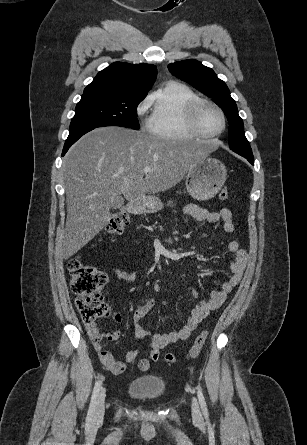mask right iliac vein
I'll return each mask as SVG.
<instances>
[{
	"instance_id": "1",
	"label": "right iliac vein",
	"mask_w": 307,
	"mask_h": 445,
	"mask_svg": "<svg viewBox=\"0 0 307 445\" xmlns=\"http://www.w3.org/2000/svg\"><path fill=\"white\" fill-rule=\"evenodd\" d=\"M104 401H105V389L102 388L98 395L96 405H95V412H94V420L95 421L101 420L104 416V412H105Z\"/></svg>"
}]
</instances>
